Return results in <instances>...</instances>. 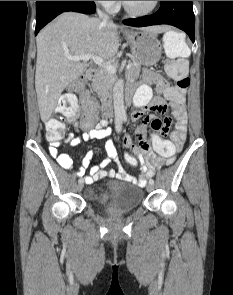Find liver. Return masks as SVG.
I'll list each match as a JSON object with an SVG mask.
<instances>
[{
    "instance_id": "1",
    "label": "liver",
    "mask_w": 233,
    "mask_h": 295,
    "mask_svg": "<svg viewBox=\"0 0 233 295\" xmlns=\"http://www.w3.org/2000/svg\"><path fill=\"white\" fill-rule=\"evenodd\" d=\"M118 27L113 22L105 23L82 13L64 12L39 32L35 89L43 122L51 117L63 90L89 66L85 62L69 60L66 55L93 54L105 60L113 58L119 48ZM150 29L161 33L168 28L154 26Z\"/></svg>"
}]
</instances>
